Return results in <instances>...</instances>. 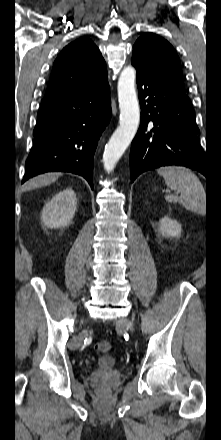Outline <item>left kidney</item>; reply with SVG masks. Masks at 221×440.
I'll return each instance as SVG.
<instances>
[{
	"instance_id": "left-kidney-1",
	"label": "left kidney",
	"mask_w": 221,
	"mask_h": 440,
	"mask_svg": "<svg viewBox=\"0 0 221 440\" xmlns=\"http://www.w3.org/2000/svg\"><path fill=\"white\" fill-rule=\"evenodd\" d=\"M159 231L164 237H180L181 225L174 219L164 216L159 222Z\"/></svg>"
}]
</instances>
